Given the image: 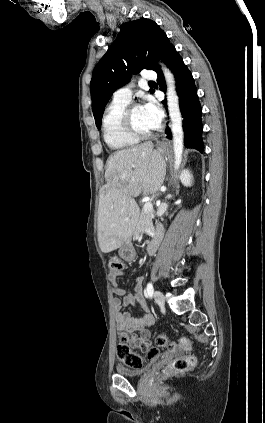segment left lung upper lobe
Wrapping results in <instances>:
<instances>
[{
    "label": "left lung upper lobe",
    "mask_w": 265,
    "mask_h": 423,
    "mask_svg": "<svg viewBox=\"0 0 265 423\" xmlns=\"http://www.w3.org/2000/svg\"><path fill=\"white\" fill-rule=\"evenodd\" d=\"M168 45L166 34L152 20L141 18L121 26L116 40L95 66L90 83L92 111L98 129L113 92L142 69L157 71L160 67L154 59L164 60Z\"/></svg>",
    "instance_id": "left-lung-upper-lobe-1"
}]
</instances>
